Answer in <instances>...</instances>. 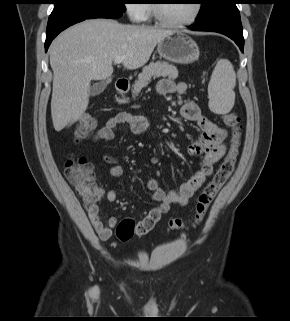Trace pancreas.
<instances>
[{
    "instance_id": "cf45deb5",
    "label": "pancreas",
    "mask_w": 290,
    "mask_h": 321,
    "mask_svg": "<svg viewBox=\"0 0 290 321\" xmlns=\"http://www.w3.org/2000/svg\"><path fill=\"white\" fill-rule=\"evenodd\" d=\"M168 77L169 79H176L178 77V70L175 66L167 62L157 61L150 63L144 67L142 73L138 75V79L133 85L132 94L136 96L140 93L141 89L146 87L152 78Z\"/></svg>"
}]
</instances>
